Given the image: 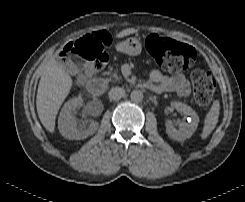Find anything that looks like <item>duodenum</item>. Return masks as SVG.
<instances>
[{
    "label": "duodenum",
    "mask_w": 245,
    "mask_h": 202,
    "mask_svg": "<svg viewBox=\"0 0 245 202\" xmlns=\"http://www.w3.org/2000/svg\"><path fill=\"white\" fill-rule=\"evenodd\" d=\"M144 89L150 90L152 92L158 93V90L152 86L149 82L145 81L140 84ZM87 90L90 95L96 97L101 95L105 91V81L102 78L95 77L87 82Z\"/></svg>",
    "instance_id": "obj_1"
}]
</instances>
